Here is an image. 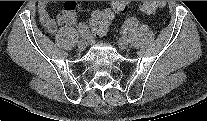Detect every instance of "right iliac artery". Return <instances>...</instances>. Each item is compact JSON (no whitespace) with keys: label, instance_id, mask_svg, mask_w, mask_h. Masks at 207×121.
<instances>
[{"label":"right iliac artery","instance_id":"1","mask_svg":"<svg viewBox=\"0 0 207 121\" xmlns=\"http://www.w3.org/2000/svg\"><path fill=\"white\" fill-rule=\"evenodd\" d=\"M79 34L82 38L88 37V27L85 24H81L79 27Z\"/></svg>","mask_w":207,"mask_h":121}]
</instances>
